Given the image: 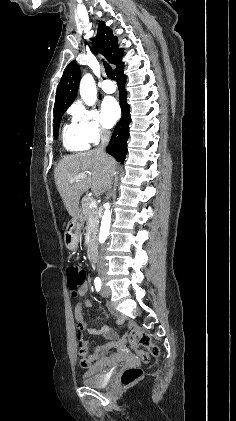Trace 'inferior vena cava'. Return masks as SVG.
Instances as JSON below:
<instances>
[{"label": "inferior vena cava", "instance_id": "obj_1", "mask_svg": "<svg viewBox=\"0 0 236 421\" xmlns=\"http://www.w3.org/2000/svg\"><path fill=\"white\" fill-rule=\"evenodd\" d=\"M100 136H101V142L97 148H95L96 152H103L105 154V146H107L111 132L110 130H105V128H100ZM97 271L98 273H106V263H105V257H100L98 263H97Z\"/></svg>", "mask_w": 236, "mask_h": 421}]
</instances>
